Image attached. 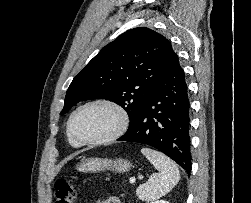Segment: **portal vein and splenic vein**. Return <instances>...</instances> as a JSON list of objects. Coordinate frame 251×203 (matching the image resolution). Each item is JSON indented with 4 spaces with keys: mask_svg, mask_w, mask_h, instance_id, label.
Instances as JSON below:
<instances>
[{
    "mask_svg": "<svg viewBox=\"0 0 251 203\" xmlns=\"http://www.w3.org/2000/svg\"><path fill=\"white\" fill-rule=\"evenodd\" d=\"M134 182H135V178H131L130 183H134Z\"/></svg>",
    "mask_w": 251,
    "mask_h": 203,
    "instance_id": "1",
    "label": "portal vein and splenic vein"
}]
</instances>
